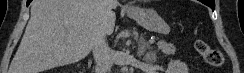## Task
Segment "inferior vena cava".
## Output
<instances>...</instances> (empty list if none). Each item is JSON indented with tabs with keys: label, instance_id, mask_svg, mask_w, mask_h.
<instances>
[{
	"label": "inferior vena cava",
	"instance_id": "inferior-vena-cava-1",
	"mask_svg": "<svg viewBox=\"0 0 244 73\" xmlns=\"http://www.w3.org/2000/svg\"><path fill=\"white\" fill-rule=\"evenodd\" d=\"M112 51L108 46L105 35H102L96 41L93 47V56L95 62L101 67L104 73L108 71L113 63Z\"/></svg>",
	"mask_w": 244,
	"mask_h": 73
}]
</instances>
